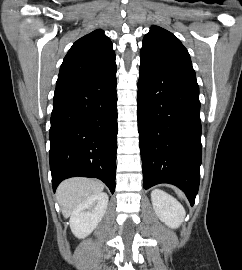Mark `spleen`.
Masks as SVG:
<instances>
[{"label": "spleen", "mask_w": 242, "mask_h": 270, "mask_svg": "<svg viewBox=\"0 0 242 270\" xmlns=\"http://www.w3.org/2000/svg\"><path fill=\"white\" fill-rule=\"evenodd\" d=\"M176 192H177V194H178V196H179L180 198H184V195H183L182 192H180V191H176Z\"/></svg>", "instance_id": "obj_1"}]
</instances>
